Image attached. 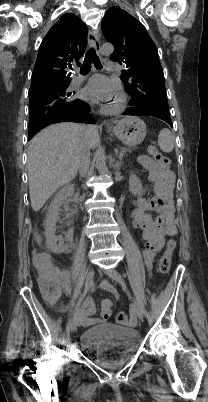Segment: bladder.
I'll list each match as a JSON object with an SVG mask.
<instances>
[{
  "mask_svg": "<svg viewBox=\"0 0 208 402\" xmlns=\"http://www.w3.org/2000/svg\"><path fill=\"white\" fill-rule=\"evenodd\" d=\"M80 342L91 351L95 363L117 366L138 349L140 339L136 330L107 323L84 330Z\"/></svg>",
  "mask_w": 208,
  "mask_h": 402,
  "instance_id": "31cf9c89",
  "label": "bladder"
}]
</instances>
